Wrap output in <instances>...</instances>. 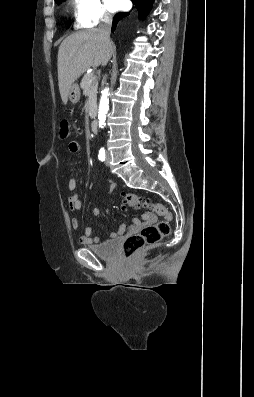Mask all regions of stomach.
<instances>
[{
  "instance_id": "1",
  "label": "stomach",
  "mask_w": 254,
  "mask_h": 397,
  "mask_svg": "<svg viewBox=\"0 0 254 397\" xmlns=\"http://www.w3.org/2000/svg\"><path fill=\"white\" fill-rule=\"evenodd\" d=\"M80 95L79 85L77 83H73L69 89L68 99L71 103L75 104L80 100Z\"/></svg>"
}]
</instances>
